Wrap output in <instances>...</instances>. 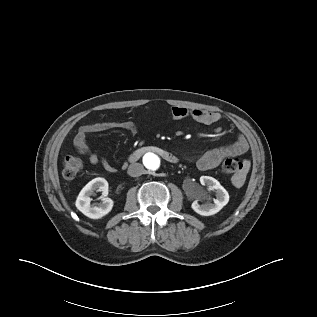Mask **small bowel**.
<instances>
[{"label":"small bowel","mask_w":317,"mask_h":317,"mask_svg":"<svg viewBox=\"0 0 317 317\" xmlns=\"http://www.w3.org/2000/svg\"><path fill=\"white\" fill-rule=\"evenodd\" d=\"M173 119L180 120L184 118H192L198 123L204 125H213L221 119L220 114L214 111L203 109H187L181 106H173L170 110ZM113 126L127 130L134 135L137 132V127L130 120L116 121L112 123H95L86 124L79 128L73 139V145L78 153L84 155L92 165L101 164L108 172H115V168L107 161L105 157L99 156L96 152L91 151L87 140V135L97 133ZM248 143L243 135H238L236 140L227 146L211 149L201 155L196 165L201 171H208L217 167L226 157L244 155L248 151ZM249 169V162H243V171L233 178L235 186H241L245 179V174Z\"/></svg>","instance_id":"small-bowel-1"}]
</instances>
